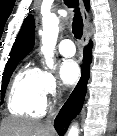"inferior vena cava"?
<instances>
[{
	"instance_id": "1",
	"label": "inferior vena cava",
	"mask_w": 117,
	"mask_h": 136,
	"mask_svg": "<svg viewBox=\"0 0 117 136\" xmlns=\"http://www.w3.org/2000/svg\"><path fill=\"white\" fill-rule=\"evenodd\" d=\"M55 116H56V113H53L52 117H55ZM46 126H48L49 128L53 129L52 121L51 120H47Z\"/></svg>"
}]
</instances>
